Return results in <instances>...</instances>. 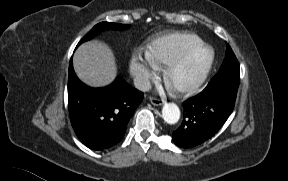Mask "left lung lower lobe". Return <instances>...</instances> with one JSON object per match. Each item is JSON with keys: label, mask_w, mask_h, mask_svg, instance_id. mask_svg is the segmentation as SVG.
I'll return each instance as SVG.
<instances>
[{"label": "left lung lower lobe", "mask_w": 288, "mask_h": 181, "mask_svg": "<svg viewBox=\"0 0 288 181\" xmlns=\"http://www.w3.org/2000/svg\"><path fill=\"white\" fill-rule=\"evenodd\" d=\"M235 100L234 94L204 89L185 101L184 120L172 134L174 143L182 148H190L213 137L233 111Z\"/></svg>", "instance_id": "1"}]
</instances>
